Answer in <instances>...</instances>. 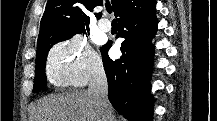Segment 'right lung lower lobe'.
<instances>
[{
	"mask_svg": "<svg viewBox=\"0 0 217 121\" xmlns=\"http://www.w3.org/2000/svg\"><path fill=\"white\" fill-rule=\"evenodd\" d=\"M118 15V37L122 56L112 60L108 42L102 48L103 64L108 80V98L116 111L129 121H151L153 96L149 80L153 62L151 41L157 30L156 1L128 0Z\"/></svg>",
	"mask_w": 217,
	"mask_h": 121,
	"instance_id": "1",
	"label": "right lung lower lobe"
}]
</instances>
